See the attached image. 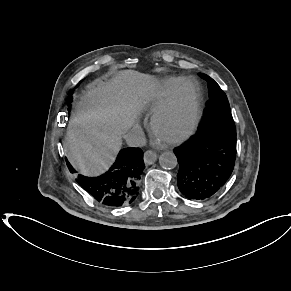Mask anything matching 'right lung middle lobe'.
<instances>
[{
    "mask_svg": "<svg viewBox=\"0 0 291 291\" xmlns=\"http://www.w3.org/2000/svg\"><path fill=\"white\" fill-rule=\"evenodd\" d=\"M67 102H68V105H69V106H71V104H70V103L72 102V97H71V96H69V98H68V101H67ZM69 110H70V109H69Z\"/></svg>",
    "mask_w": 291,
    "mask_h": 291,
    "instance_id": "1",
    "label": "right lung middle lobe"
}]
</instances>
